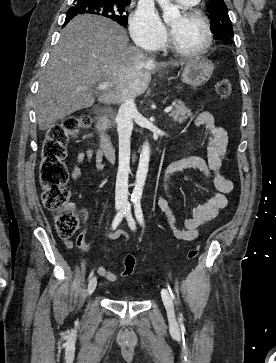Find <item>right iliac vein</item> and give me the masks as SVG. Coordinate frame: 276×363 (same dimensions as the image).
I'll use <instances>...</instances> for the list:
<instances>
[{"mask_svg":"<svg viewBox=\"0 0 276 363\" xmlns=\"http://www.w3.org/2000/svg\"><path fill=\"white\" fill-rule=\"evenodd\" d=\"M122 209V206H117V210L120 211ZM97 285V279L96 277H92L89 281L88 287H87V294L90 296L96 288Z\"/></svg>","mask_w":276,"mask_h":363,"instance_id":"63e3f726","label":"right iliac vein"}]
</instances>
